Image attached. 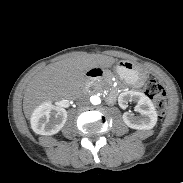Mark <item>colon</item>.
<instances>
[{
	"instance_id": "obj_1",
	"label": "colon",
	"mask_w": 183,
	"mask_h": 183,
	"mask_svg": "<svg viewBox=\"0 0 183 183\" xmlns=\"http://www.w3.org/2000/svg\"><path fill=\"white\" fill-rule=\"evenodd\" d=\"M145 94L154 101L158 115L164 116L166 110V92L156 80H148L145 84Z\"/></svg>"
}]
</instances>
